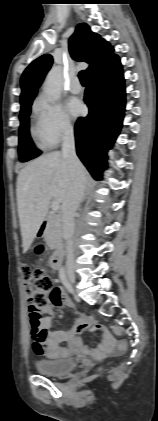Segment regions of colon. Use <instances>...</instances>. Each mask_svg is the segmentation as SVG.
I'll return each mask as SVG.
<instances>
[{
  "label": "colon",
  "mask_w": 158,
  "mask_h": 421,
  "mask_svg": "<svg viewBox=\"0 0 158 421\" xmlns=\"http://www.w3.org/2000/svg\"><path fill=\"white\" fill-rule=\"evenodd\" d=\"M22 273L28 296L30 322L35 325L41 317L40 309L49 301L52 283L50 278L41 269L23 265ZM92 328L98 329L99 325L93 322ZM117 350L119 352L124 351L125 343L118 342Z\"/></svg>",
  "instance_id": "1"
}]
</instances>
